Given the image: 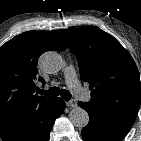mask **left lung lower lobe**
I'll return each instance as SVG.
<instances>
[{
  "label": "left lung lower lobe",
  "instance_id": "left-lung-lower-lobe-1",
  "mask_svg": "<svg viewBox=\"0 0 141 141\" xmlns=\"http://www.w3.org/2000/svg\"><path fill=\"white\" fill-rule=\"evenodd\" d=\"M90 117L81 134L85 141H121L133 125L135 115H114L85 102H78Z\"/></svg>",
  "mask_w": 141,
  "mask_h": 141
}]
</instances>
